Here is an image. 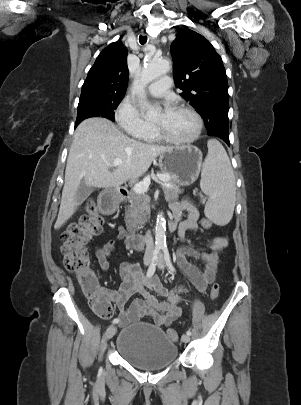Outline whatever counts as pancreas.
<instances>
[{
    "mask_svg": "<svg viewBox=\"0 0 301 405\" xmlns=\"http://www.w3.org/2000/svg\"><path fill=\"white\" fill-rule=\"evenodd\" d=\"M168 176L170 180L162 185L165 200L177 201L181 190L173 182L172 177L170 175ZM128 200L130 205L125 212V223L130 232H135L141 229L146 221L145 211L149 210V197L147 195L138 194L132 189L128 195Z\"/></svg>",
    "mask_w": 301,
    "mask_h": 405,
    "instance_id": "1",
    "label": "pancreas"
}]
</instances>
